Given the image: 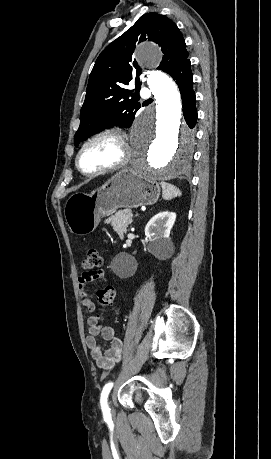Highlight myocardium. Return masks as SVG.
<instances>
[{
    "label": "myocardium",
    "mask_w": 271,
    "mask_h": 459,
    "mask_svg": "<svg viewBox=\"0 0 271 459\" xmlns=\"http://www.w3.org/2000/svg\"><path fill=\"white\" fill-rule=\"evenodd\" d=\"M103 135H112L118 140L120 144V154L115 161L109 164H106L104 166H101L93 171L86 172L80 167V156L82 152L84 151L85 147L87 146V144L91 140L97 137L103 136ZM129 156H130V143L124 131L117 126H106V127L100 128L96 130L95 132L91 133L82 141V143L80 144L76 152L74 164L80 174H82L85 177H93V176L102 174L104 172L116 170V169L123 167L128 162Z\"/></svg>",
    "instance_id": "obj_1"
}]
</instances>
